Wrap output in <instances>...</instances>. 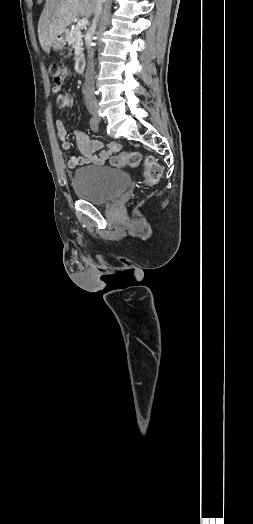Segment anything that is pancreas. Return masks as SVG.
Masks as SVG:
<instances>
[{
  "label": "pancreas",
  "mask_w": 253,
  "mask_h": 524,
  "mask_svg": "<svg viewBox=\"0 0 253 524\" xmlns=\"http://www.w3.org/2000/svg\"><path fill=\"white\" fill-rule=\"evenodd\" d=\"M82 38H83V35L80 31V28L75 27V28L66 30V41L68 42V44L72 45V47L77 51L76 60H79L83 57Z\"/></svg>",
  "instance_id": "pancreas-1"
}]
</instances>
